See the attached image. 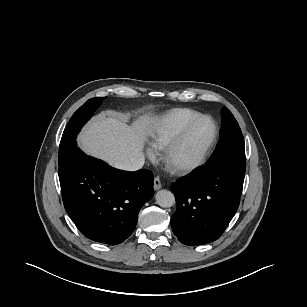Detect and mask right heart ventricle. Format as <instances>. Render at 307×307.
I'll use <instances>...</instances> for the list:
<instances>
[{
	"instance_id": "e07e8e85",
	"label": "right heart ventricle",
	"mask_w": 307,
	"mask_h": 307,
	"mask_svg": "<svg viewBox=\"0 0 307 307\" xmlns=\"http://www.w3.org/2000/svg\"><path fill=\"white\" fill-rule=\"evenodd\" d=\"M200 115L202 114L190 108H176L163 115L151 138L153 149L165 150L183 127Z\"/></svg>"
}]
</instances>
